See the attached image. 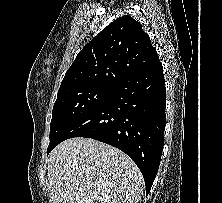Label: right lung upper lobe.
<instances>
[{
  "mask_svg": "<svg viewBox=\"0 0 222 203\" xmlns=\"http://www.w3.org/2000/svg\"><path fill=\"white\" fill-rule=\"evenodd\" d=\"M156 59L157 52L140 22L124 15L78 53L59 90L74 86L113 88L125 76Z\"/></svg>",
  "mask_w": 222,
  "mask_h": 203,
  "instance_id": "1",
  "label": "right lung upper lobe"
}]
</instances>
